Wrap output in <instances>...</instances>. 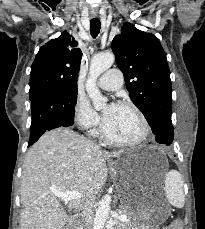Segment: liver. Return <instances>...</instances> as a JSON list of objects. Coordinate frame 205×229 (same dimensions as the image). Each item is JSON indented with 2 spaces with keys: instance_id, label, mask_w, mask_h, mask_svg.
<instances>
[{
  "instance_id": "6515ba94",
  "label": "liver",
  "mask_w": 205,
  "mask_h": 229,
  "mask_svg": "<svg viewBox=\"0 0 205 229\" xmlns=\"http://www.w3.org/2000/svg\"><path fill=\"white\" fill-rule=\"evenodd\" d=\"M123 151L106 152L68 128L47 131L27 152L22 172L20 229H62L72 216L52 191H76L69 210L78 211L100 192L108 176L106 160Z\"/></svg>"
}]
</instances>
